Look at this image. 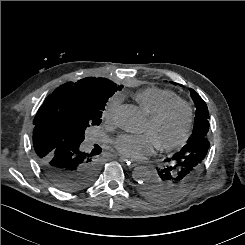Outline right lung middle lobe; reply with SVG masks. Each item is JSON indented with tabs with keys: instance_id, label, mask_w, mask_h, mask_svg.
Masks as SVG:
<instances>
[{
	"instance_id": "obj_1",
	"label": "right lung middle lobe",
	"mask_w": 245,
	"mask_h": 245,
	"mask_svg": "<svg viewBox=\"0 0 245 245\" xmlns=\"http://www.w3.org/2000/svg\"><path fill=\"white\" fill-rule=\"evenodd\" d=\"M120 87L114 85L99 93L96 101L90 105L51 111L46 116V123L60 138L82 143L86 128L101 123L102 110H104L107 100L118 89L121 90Z\"/></svg>"
}]
</instances>
